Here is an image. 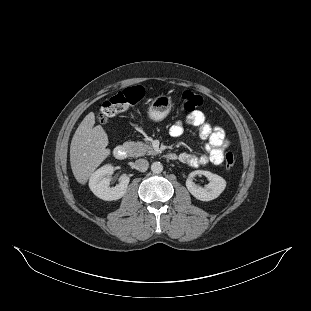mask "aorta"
I'll return each instance as SVG.
<instances>
[{"instance_id": "1", "label": "aorta", "mask_w": 311, "mask_h": 311, "mask_svg": "<svg viewBox=\"0 0 311 311\" xmlns=\"http://www.w3.org/2000/svg\"><path fill=\"white\" fill-rule=\"evenodd\" d=\"M151 171L153 173H161L163 171V165L161 162L156 161L151 164Z\"/></svg>"}]
</instances>
